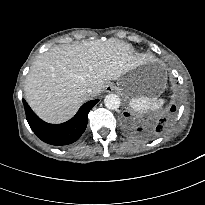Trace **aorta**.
Masks as SVG:
<instances>
[{"label": "aorta", "mask_w": 205, "mask_h": 205, "mask_svg": "<svg viewBox=\"0 0 205 205\" xmlns=\"http://www.w3.org/2000/svg\"><path fill=\"white\" fill-rule=\"evenodd\" d=\"M105 106L110 110H116L120 106V98L116 94H108L104 99Z\"/></svg>", "instance_id": "aorta-1"}]
</instances>
